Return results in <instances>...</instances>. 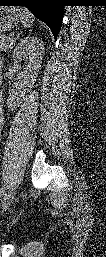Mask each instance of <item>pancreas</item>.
Here are the masks:
<instances>
[{
	"label": "pancreas",
	"mask_w": 106,
	"mask_h": 257,
	"mask_svg": "<svg viewBox=\"0 0 106 257\" xmlns=\"http://www.w3.org/2000/svg\"><path fill=\"white\" fill-rule=\"evenodd\" d=\"M15 43V39L10 37V36H6V35H1L0 36V51L1 52H6L9 49H11L13 47Z\"/></svg>",
	"instance_id": "obj_1"
}]
</instances>
